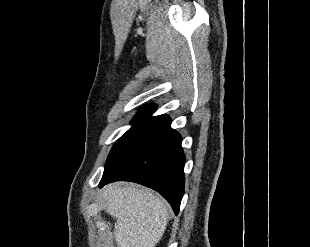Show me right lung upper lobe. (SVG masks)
Here are the masks:
<instances>
[{
  "label": "right lung upper lobe",
  "mask_w": 310,
  "mask_h": 247,
  "mask_svg": "<svg viewBox=\"0 0 310 247\" xmlns=\"http://www.w3.org/2000/svg\"><path fill=\"white\" fill-rule=\"evenodd\" d=\"M141 110L155 111V106H144Z\"/></svg>",
  "instance_id": "right-lung-upper-lobe-1"
}]
</instances>
